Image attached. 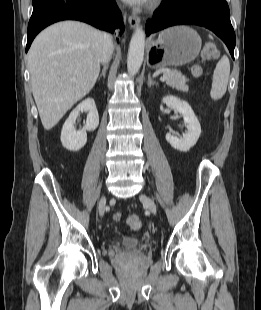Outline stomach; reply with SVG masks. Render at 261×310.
Returning <instances> with one entry per match:
<instances>
[{
  "label": "stomach",
  "instance_id": "stomach-1",
  "mask_svg": "<svg viewBox=\"0 0 261 310\" xmlns=\"http://www.w3.org/2000/svg\"><path fill=\"white\" fill-rule=\"evenodd\" d=\"M198 33L187 26H175L162 31L148 48L149 64L154 68L181 66L193 61L201 49Z\"/></svg>",
  "mask_w": 261,
  "mask_h": 310
}]
</instances>
